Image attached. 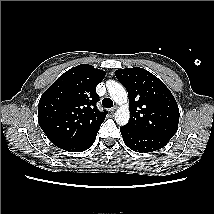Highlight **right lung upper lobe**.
Listing matches in <instances>:
<instances>
[{"label": "right lung upper lobe", "instance_id": "obj_1", "mask_svg": "<svg viewBox=\"0 0 214 214\" xmlns=\"http://www.w3.org/2000/svg\"><path fill=\"white\" fill-rule=\"evenodd\" d=\"M106 72L81 64L63 73L41 96L38 122L57 147L76 152L99 131L107 111L100 112L95 87Z\"/></svg>", "mask_w": 214, "mask_h": 214}]
</instances>
